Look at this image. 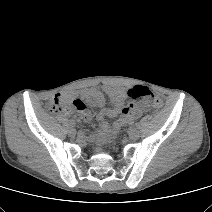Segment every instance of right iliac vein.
Instances as JSON below:
<instances>
[{
	"label": "right iliac vein",
	"instance_id": "obj_1",
	"mask_svg": "<svg viewBox=\"0 0 212 212\" xmlns=\"http://www.w3.org/2000/svg\"><path fill=\"white\" fill-rule=\"evenodd\" d=\"M69 135L75 136L76 135V130L74 128L69 129Z\"/></svg>",
	"mask_w": 212,
	"mask_h": 212
}]
</instances>
